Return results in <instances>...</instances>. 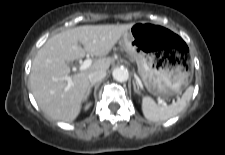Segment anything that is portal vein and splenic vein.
Returning a JSON list of instances; mask_svg holds the SVG:
<instances>
[{
  "label": "portal vein and splenic vein",
  "instance_id": "18ae733b",
  "mask_svg": "<svg viewBox=\"0 0 225 155\" xmlns=\"http://www.w3.org/2000/svg\"><path fill=\"white\" fill-rule=\"evenodd\" d=\"M92 64V60L91 59H86L83 61V63L80 65L79 70L83 71L87 68H89ZM63 79H65L68 82V86L72 85V79L70 76H65ZM158 103L162 106V107H166L167 103L162 100V99H158Z\"/></svg>",
  "mask_w": 225,
  "mask_h": 155
}]
</instances>
